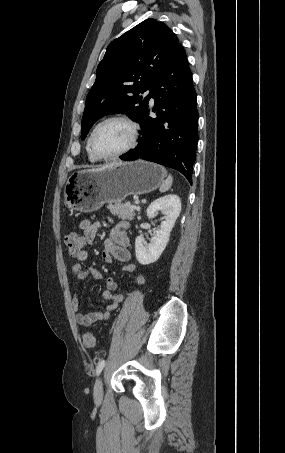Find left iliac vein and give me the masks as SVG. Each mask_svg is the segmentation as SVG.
Listing matches in <instances>:
<instances>
[{
    "mask_svg": "<svg viewBox=\"0 0 285 453\" xmlns=\"http://www.w3.org/2000/svg\"><path fill=\"white\" fill-rule=\"evenodd\" d=\"M103 398V379L99 377L94 387V399L97 403H100Z\"/></svg>",
    "mask_w": 285,
    "mask_h": 453,
    "instance_id": "obj_1",
    "label": "left iliac vein"
}]
</instances>
